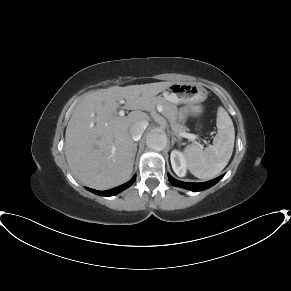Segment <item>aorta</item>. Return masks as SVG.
<instances>
[{"label":"aorta","mask_w":291,"mask_h":291,"mask_svg":"<svg viewBox=\"0 0 291 291\" xmlns=\"http://www.w3.org/2000/svg\"><path fill=\"white\" fill-rule=\"evenodd\" d=\"M146 144L154 150H163L167 145V136L161 131H151L147 134Z\"/></svg>","instance_id":"762f6f07"}]
</instances>
